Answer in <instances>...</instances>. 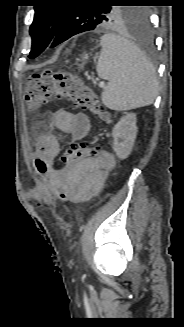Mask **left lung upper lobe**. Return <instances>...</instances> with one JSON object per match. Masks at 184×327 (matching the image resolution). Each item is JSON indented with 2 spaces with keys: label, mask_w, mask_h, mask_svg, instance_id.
Listing matches in <instances>:
<instances>
[{
  "label": "left lung upper lobe",
  "mask_w": 184,
  "mask_h": 327,
  "mask_svg": "<svg viewBox=\"0 0 184 327\" xmlns=\"http://www.w3.org/2000/svg\"><path fill=\"white\" fill-rule=\"evenodd\" d=\"M133 0H101L99 4L81 5L78 0L59 4L47 0L34 6L35 15L30 27L32 48L29 58H36L52 42L58 30H74L78 33L94 30L101 26L127 25L135 27L148 16L142 7L112 6V3H132Z\"/></svg>",
  "instance_id": "5c2ea615"
}]
</instances>
